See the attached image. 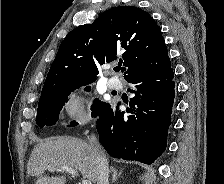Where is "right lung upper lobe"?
Returning <instances> with one entry per match:
<instances>
[{"label":"right lung upper lobe","instance_id":"1","mask_svg":"<svg viewBox=\"0 0 224 184\" xmlns=\"http://www.w3.org/2000/svg\"><path fill=\"white\" fill-rule=\"evenodd\" d=\"M120 57L125 80L170 64L159 26L134 6L107 10L92 24L73 29L62 41L40 99L77 83L96 80L97 65Z\"/></svg>","mask_w":224,"mask_h":184}]
</instances>
